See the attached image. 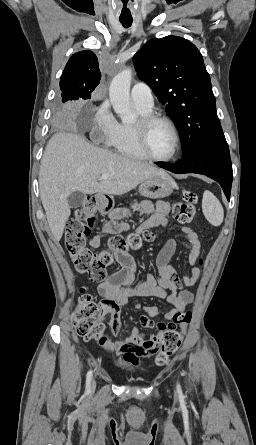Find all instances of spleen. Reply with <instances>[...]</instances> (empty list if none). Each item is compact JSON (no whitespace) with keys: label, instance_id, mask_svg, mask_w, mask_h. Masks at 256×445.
Masks as SVG:
<instances>
[{"label":"spleen","instance_id":"obj_1","mask_svg":"<svg viewBox=\"0 0 256 445\" xmlns=\"http://www.w3.org/2000/svg\"><path fill=\"white\" fill-rule=\"evenodd\" d=\"M202 210L207 221L213 226L223 222L224 210L219 200L208 190L203 193Z\"/></svg>","mask_w":256,"mask_h":445}]
</instances>
